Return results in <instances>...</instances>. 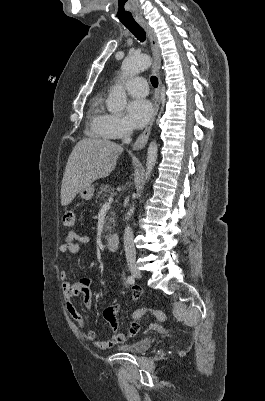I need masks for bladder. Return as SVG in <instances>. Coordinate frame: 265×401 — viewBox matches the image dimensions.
<instances>
[{"mask_svg":"<svg viewBox=\"0 0 265 401\" xmlns=\"http://www.w3.org/2000/svg\"><path fill=\"white\" fill-rule=\"evenodd\" d=\"M152 344V339L149 338H140L139 340L119 347V350L122 351H127V352H142V351H147L148 348Z\"/></svg>","mask_w":265,"mask_h":401,"instance_id":"1","label":"bladder"}]
</instances>
